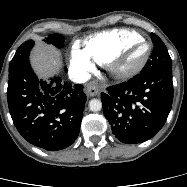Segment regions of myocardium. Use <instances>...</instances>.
<instances>
[{
  "instance_id": "obj_1",
  "label": "myocardium",
  "mask_w": 187,
  "mask_h": 187,
  "mask_svg": "<svg viewBox=\"0 0 187 187\" xmlns=\"http://www.w3.org/2000/svg\"><path fill=\"white\" fill-rule=\"evenodd\" d=\"M138 43H146L147 52L143 59L134 67L129 69H121L120 64L123 62L128 52ZM152 52V44L149 40L141 37L137 40L129 42L118 49L104 64L108 73L115 79L125 80L138 74L147 64Z\"/></svg>"
}]
</instances>
